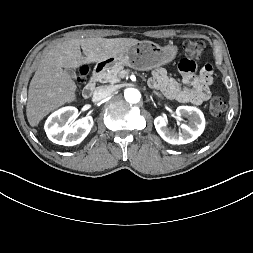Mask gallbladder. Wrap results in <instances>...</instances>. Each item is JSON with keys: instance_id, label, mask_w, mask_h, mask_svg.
<instances>
[{"instance_id": "obj_1", "label": "gallbladder", "mask_w": 253, "mask_h": 253, "mask_svg": "<svg viewBox=\"0 0 253 253\" xmlns=\"http://www.w3.org/2000/svg\"><path fill=\"white\" fill-rule=\"evenodd\" d=\"M65 71L72 77L75 78L76 77V73L70 69V68H66Z\"/></svg>"}]
</instances>
